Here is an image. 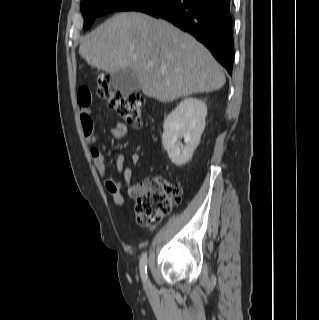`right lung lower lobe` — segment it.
<instances>
[{"mask_svg": "<svg viewBox=\"0 0 319 320\" xmlns=\"http://www.w3.org/2000/svg\"><path fill=\"white\" fill-rule=\"evenodd\" d=\"M136 11L166 19L189 32L232 73L234 41L230 0H156Z\"/></svg>", "mask_w": 319, "mask_h": 320, "instance_id": "98d812e1", "label": "right lung lower lobe"}]
</instances>
